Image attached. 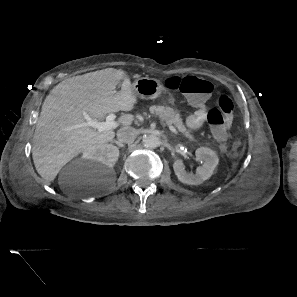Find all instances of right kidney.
I'll list each match as a JSON object with an SVG mask.
<instances>
[{"label": "right kidney", "instance_id": "ca27d5eb", "mask_svg": "<svg viewBox=\"0 0 297 297\" xmlns=\"http://www.w3.org/2000/svg\"><path fill=\"white\" fill-rule=\"evenodd\" d=\"M119 157V150L111 144L93 145L84 150L82 158L112 168Z\"/></svg>", "mask_w": 297, "mask_h": 297}]
</instances>
